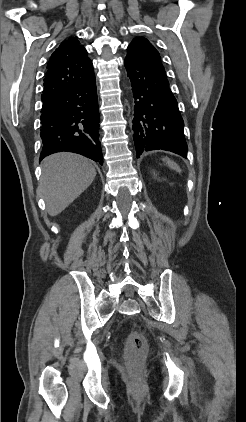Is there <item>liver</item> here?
<instances>
[{"instance_id": "obj_1", "label": "liver", "mask_w": 246, "mask_h": 422, "mask_svg": "<svg viewBox=\"0 0 246 422\" xmlns=\"http://www.w3.org/2000/svg\"><path fill=\"white\" fill-rule=\"evenodd\" d=\"M95 176V167L81 155L62 152L46 157L39 192L48 214H60L90 186Z\"/></svg>"}]
</instances>
